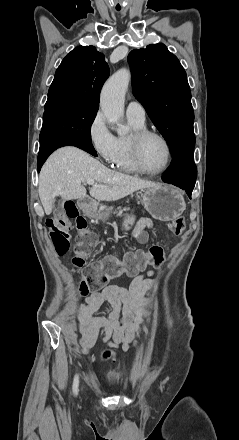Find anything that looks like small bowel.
Returning <instances> with one entry per match:
<instances>
[{"label": "small bowel", "instance_id": "small-bowel-1", "mask_svg": "<svg viewBox=\"0 0 239 440\" xmlns=\"http://www.w3.org/2000/svg\"><path fill=\"white\" fill-rule=\"evenodd\" d=\"M152 222L147 218L138 221L133 235L140 242L148 239L147 230ZM154 272L148 271L133 279L128 289L108 285L100 292H92L78 307L79 345L87 353L99 338L112 347L121 346L128 351L136 344L144 325L149 324V312L154 307L145 293L154 285ZM108 302L112 311L108 317H95L94 313ZM122 313V323L119 322Z\"/></svg>", "mask_w": 239, "mask_h": 440}]
</instances>
